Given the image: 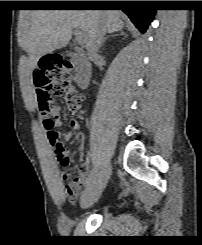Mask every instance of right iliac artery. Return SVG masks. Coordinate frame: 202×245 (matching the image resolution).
Wrapping results in <instances>:
<instances>
[{
	"label": "right iliac artery",
	"mask_w": 202,
	"mask_h": 245,
	"mask_svg": "<svg viewBox=\"0 0 202 245\" xmlns=\"http://www.w3.org/2000/svg\"><path fill=\"white\" fill-rule=\"evenodd\" d=\"M97 173H98V168L95 167L93 169L91 176L86 180V186H89L95 180Z\"/></svg>",
	"instance_id": "1"
}]
</instances>
